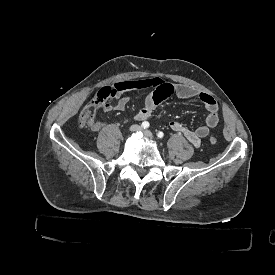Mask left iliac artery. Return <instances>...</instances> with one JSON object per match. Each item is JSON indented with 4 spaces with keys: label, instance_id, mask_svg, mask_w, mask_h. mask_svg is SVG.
Returning <instances> with one entry per match:
<instances>
[{
    "label": "left iliac artery",
    "instance_id": "obj_1",
    "mask_svg": "<svg viewBox=\"0 0 275 275\" xmlns=\"http://www.w3.org/2000/svg\"><path fill=\"white\" fill-rule=\"evenodd\" d=\"M157 137H158V138H163V137H164L163 132L159 131V132L157 133Z\"/></svg>",
    "mask_w": 275,
    "mask_h": 275
}]
</instances>
